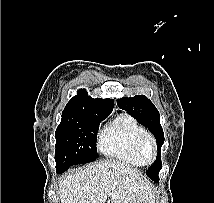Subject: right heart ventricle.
I'll list each match as a JSON object with an SVG mask.
<instances>
[{
    "label": "right heart ventricle",
    "instance_id": "obj_1",
    "mask_svg": "<svg viewBox=\"0 0 214 203\" xmlns=\"http://www.w3.org/2000/svg\"><path fill=\"white\" fill-rule=\"evenodd\" d=\"M146 133L133 117L120 114L99 134V148L107 156L134 166L145 163L137 151L139 139Z\"/></svg>",
    "mask_w": 214,
    "mask_h": 203
}]
</instances>
